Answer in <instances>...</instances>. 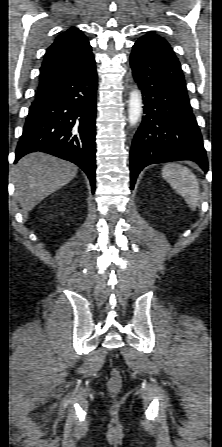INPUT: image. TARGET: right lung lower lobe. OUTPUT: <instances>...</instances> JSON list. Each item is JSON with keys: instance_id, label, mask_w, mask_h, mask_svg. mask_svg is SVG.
Here are the masks:
<instances>
[{"instance_id": "right-lung-lower-lobe-1", "label": "right lung lower lobe", "mask_w": 222, "mask_h": 447, "mask_svg": "<svg viewBox=\"0 0 222 447\" xmlns=\"http://www.w3.org/2000/svg\"><path fill=\"white\" fill-rule=\"evenodd\" d=\"M97 73L94 58L76 75L30 106L16 149L17 162L41 151L78 165L95 191Z\"/></svg>"}]
</instances>
